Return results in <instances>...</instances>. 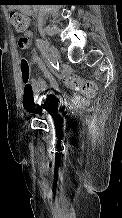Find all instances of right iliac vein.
I'll list each match as a JSON object with an SVG mask.
<instances>
[{"mask_svg":"<svg viewBox=\"0 0 122 218\" xmlns=\"http://www.w3.org/2000/svg\"><path fill=\"white\" fill-rule=\"evenodd\" d=\"M49 48L51 50V59L53 62H58L60 60V53L59 51L52 45L49 44Z\"/></svg>","mask_w":122,"mask_h":218,"instance_id":"63e3f726","label":"right iliac vein"}]
</instances>
